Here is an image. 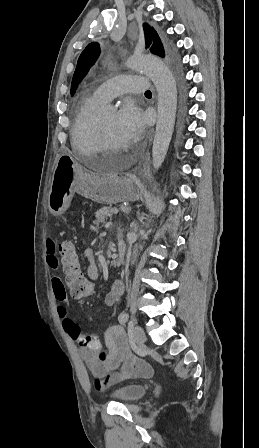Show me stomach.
Masks as SVG:
<instances>
[{
	"label": "stomach",
	"instance_id": "0dacf381",
	"mask_svg": "<svg viewBox=\"0 0 259 448\" xmlns=\"http://www.w3.org/2000/svg\"><path fill=\"white\" fill-rule=\"evenodd\" d=\"M76 164L69 154H62L57 160L48 194V208L53 216H59L70 202L76 182Z\"/></svg>",
	"mask_w": 259,
	"mask_h": 448
}]
</instances>
